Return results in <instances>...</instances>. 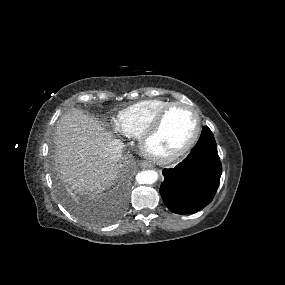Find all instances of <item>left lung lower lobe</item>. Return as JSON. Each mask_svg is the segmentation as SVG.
Instances as JSON below:
<instances>
[{
	"label": "left lung lower lobe",
	"instance_id": "1",
	"mask_svg": "<svg viewBox=\"0 0 285 285\" xmlns=\"http://www.w3.org/2000/svg\"><path fill=\"white\" fill-rule=\"evenodd\" d=\"M221 174L217 145L206 126L191 153L176 167L164 168L160 194L172 212L191 214L212 201Z\"/></svg>",
	"mask_w": 285,
	"mask_h": 285
}]
</instances>
